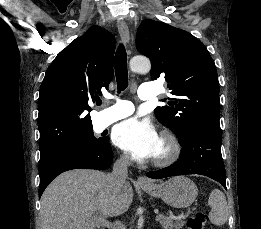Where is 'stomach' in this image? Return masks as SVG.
Here are the masks:
<instances>
[{
    "instance_id": "stomach-1",
    "label": "stomach",
    "mask_w": 261,
    "mask_h": 229,
    "mask_svg": "<svg viewBox=\"0 0 261 229\" xmlns=\"http://www.w3.org/2000/svg\"><path fill=\"white\" fill-rule=\"evenodd\" d=\"M142 189L151 197L162 199L167 205L175 207V209L190 207L198 195L195 183L187 177H172L166 183L154 185V187H142Z\"/></svg>"
}]
</instances>
